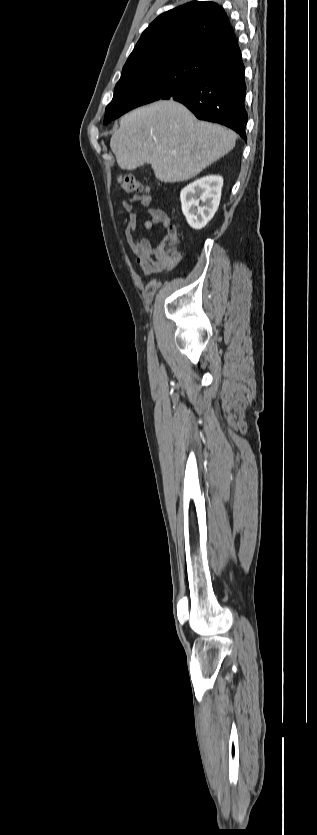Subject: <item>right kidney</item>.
Wrapping results in <instances>:
<instances>
[{"label": "right kidney", "mask_w": 317, "mask_h": 835, "mask_svg": "<svg viewBox=\"0 0 317 835\" xmlns=\"http://www.w3.org/2000/svg\"><path fill=\"white\" fill-rule=\"evenodd\" d=\"M223 178L204 176L184 187L180 194L182 212L188 224L196 230L204 228L213 218L221 199ZM202 201L203 206L199 203Z\"/></svg>", "instance_id": "1"}]
</instances>
